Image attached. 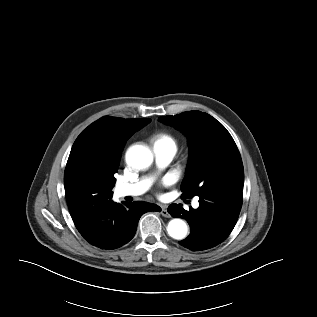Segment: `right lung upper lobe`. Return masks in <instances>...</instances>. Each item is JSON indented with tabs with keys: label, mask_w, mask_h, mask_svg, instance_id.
<instances>
[{
	"label": "right lung upper lobe",
	"mask_w": 317,
	"mask_h": 317,
	"mask_svg": "<svg viewBox=\"0 0 317 317\" xmlns=\"http://www.w3.org/2000/svg\"><path fill=\"white\" fill-rule=\"evenodd\" d=\"M150 119H123L105 116L89 125L75 140L65 171L76 163L91 161L117 172L126 141Z\"/></svg>",
	"instance_id": "cb5924a9"
}]
</instances>
